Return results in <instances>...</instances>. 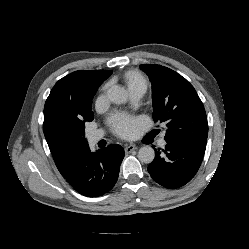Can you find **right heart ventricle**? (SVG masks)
<instances>
[{"mask_svg": "<svg viewBox=\"0 0 249 249\" xmlns=\"http://www.w3.org/2000/svg\"><path fill=\"white\" fill-rule=\"evenodd\" d=\"M120 78L130 93H144L148 88L147 78L138 70H127L120 76Z\"/></svg>", "mask_w": 249, "mask_h": 249, "instance_id": "right-heart-ventricle-1", "label": "right heart ventricle"}]
</instances>
